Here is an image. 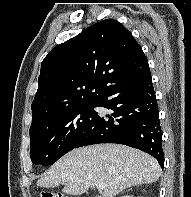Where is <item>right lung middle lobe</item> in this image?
Segmentation results:
<instances>
[{
    "instance_id": "obj_1",
    "label": "right lung middle lobe",
    "mask_w": 191,
    "mask_h": 197,
    "mask_svg": "<svg viewBox=\"0 0 191 197\" xmlns=\"http://www.w3.org/2000/svg\"><path fill=\"white\" fill-rule=\"evenodd\" d=\"M97 101L59 112L29 130L33 164L48 166L74 149L94 123Z\"/></svg>"
}]
</instances>
